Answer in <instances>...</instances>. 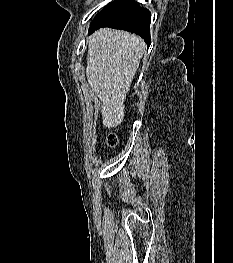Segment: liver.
I'll list each match as a JSON object with an SVG mask.
<instances>
[{"instance_id":"1","label":"liver","mask_w":233,"mask_h":263,"mask_svg":"<svg viewBox=\"0 0 233 263\" xmlns=\"http://www.w3.org/2000/svg\"><path fill=\"white\" fill-rule=\"evenodd\" d=\"M146 44L139 36L103 28L90 38L86 77L100 99L103 125L123 122L124 101L140 65Z\"/></svg>"}]
</instances>
